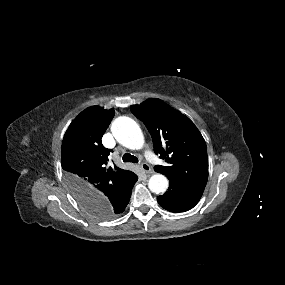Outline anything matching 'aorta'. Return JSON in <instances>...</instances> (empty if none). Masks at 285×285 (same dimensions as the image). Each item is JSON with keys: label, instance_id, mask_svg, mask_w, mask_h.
I'll return each mask as SVG.
<instances>
[{"label": "aorta", "instance_id": "aorta-1", "mask_svg": "<svg viewBox=\"0 0 285 285\" xmlns=\"http://www.w3.org/2000/svg\"><path fill=\"white\" fill-rule=\"evenodd\" d=\"M111 130L116 140L128 149L138 150L144 145V136L139 125L129 117L116 118ZM168 185V179L162 174H154L148 182L150 191L156 194L164 193Z\"/></svg>", "mask_w": 285, "mask_h": 285}]
</instances>
